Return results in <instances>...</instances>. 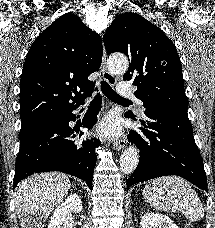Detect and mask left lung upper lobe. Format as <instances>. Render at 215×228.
I'll list each match as a JSON object with an SVG mask.
<instances>
[{"instance_id":"1","label":"left lung upper lobe","mask_w":215,"mask_h":228,"mask_svg":"<svg viewBox=\"0 0 215 228\" xmlns=\"http://www.w3.org/2000/svg\"><path fill=\"white\" fill-rule=\"evenodd\" d=\"M104 44L108 53L122 52L130 59L123 80L134 79L135 96L145 109L188 108L180 58L175 45L159 27L127 12L117 16L107 28ZM127 114L135 119L133 113Z\"/></svg>"}]
</instances>
